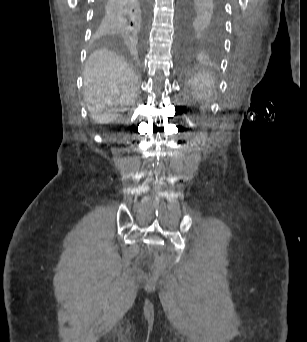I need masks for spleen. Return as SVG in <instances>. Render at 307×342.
<instances>
[{
    "label": "spleen",
    "instance_id": "obj_1",
    "mask_svg": "<svg viewBox=\"0 0 307 342\" xmlns=\"http://www.w3.org/2000/svg\"><path fill=\"white\" fill-rule=\"evenodd\" d=\"M189 83L194 84L195 98L198 100H208L215 88L214 80L210 78L209 74H198L196 77H190Z\"/></svg>",
    "mask_w": 307,
    "mask_h": 342
}]
</instances>
